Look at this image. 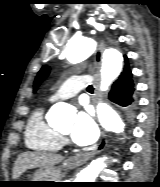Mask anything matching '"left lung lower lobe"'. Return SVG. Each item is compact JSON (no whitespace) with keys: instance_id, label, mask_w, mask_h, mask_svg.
I'll use <instances>...</instances> for the list:
<instances>
[{"instance_id":"obj_1","label":"left lung lower lobe","mask_w":160,"mask_h":187,"mask_svg":"<svg viewBox=\"0 0 160 187\" xmlns=\"http://www.w3.org/2000/svg\"><path fill=\"white\" fill-rule=\"evenodd\" d=\"M125 58L124 69L119 78L112 85L109 92V99L123 108L124 114L129 119L133 118L136 108V98L134 96V83L132 72Z\"/></svg>"}]
</instances>
